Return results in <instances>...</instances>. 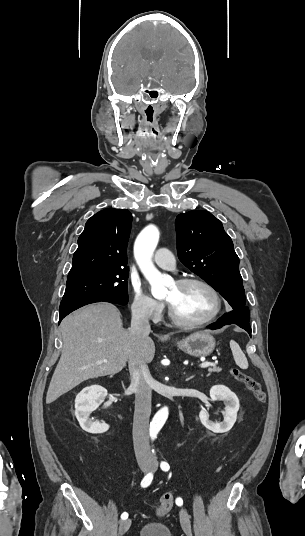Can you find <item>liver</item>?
<instances>
[{
	"label": "liver",
	"instance_id": "liver-1",
	"mask_svg": "<svg viewBox=\"0 0 305 536\" xmlns=\"http://www.w3.org/2000/svg\"><path fill=\"white\" fill-rule=\"evenodd\" d=\"M62 356L52 376L46 404H52L84 380L118 374L133 358L138 366L155 356L151 338L136 340L123 330L120 312L112 304H90L61 322ZM100 360H108L97 364Z\"/></svg>",
	"mask_w": 305,
	"mask_h": 536
}]
</instances>
